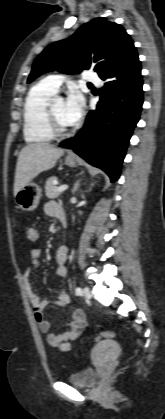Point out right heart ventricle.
<instances>
[{
    "label": "right heart ventricle",
    "mask_w": 165,
    "mask_h": 419,
    "mask_svg": "<svg viewBox=\"0 0 165 419\" xmlns=\"http://www.w3.org/2000/svg\"><path fill=\"white\" fill-rule=\"evenodd\" d=\"M54 94L42 82L28 92L23 108V133L27 142L46 143L55 138L46 118V108Z\"/></svg>",
    "instance_id": "obj_1"
}]
</instances>
